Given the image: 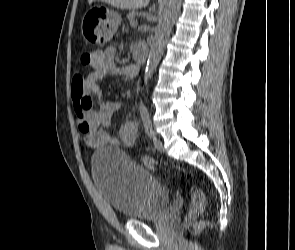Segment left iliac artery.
<instances>
[{
    "label": "left iliac artery",
    "mask_w": 295,
    "mask_h": 250,
    "mask_svg": "<svg viewBox=\"0 0 295 250\" xmlns=\"http://www.w3.org/2000/svg\"><path fill=\"white\" fill-rule=\"evenodd\" d=\"M140 115H141L145 132L151 138L153 135V130H152V123H151V119H150V115H149V111L147 107L142 106L140 108Z\"/></svg>",
    "instance_id": "1"
}]
</instances>
